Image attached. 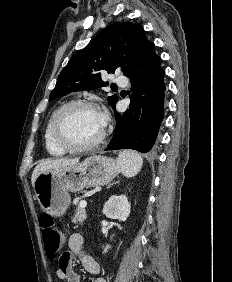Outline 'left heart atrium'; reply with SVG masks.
<instances>
[{
	"instance_id": "left-heart-atrium-1",
	"label": "left heart atrium",
	"mask_w": 232,
	"mask_h": 282,
	"mask_svg": "<svg viewBox=\"0 0 232 282\" xmlns=\"http://www.w3.org/2000/svg\"><path fill=\"white\" fill-rule=\"evenodd\" d=\"M99 117H100V120H101L102 125L104 126V125H105V122H106V116H105V114L99 113Z\"/></svg>"
}]
</instances>
